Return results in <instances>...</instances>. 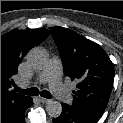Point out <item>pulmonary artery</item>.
Segmentation results:
<instances>
[{
  "mask_svg": "<svg viewBox=\"0 0 123 123\" xmlns=\"http://www.w3.org/2000/svg\"><path fill=\"white\" fill-rule=\"evenodd\" d=\"M40 83L48 82L51 90L56 97L64 103H70L72 101L71 94L61 81V63L59 59L52 58L45 69L40 73L38 77Z\"/></svg>",
  "mask_w": 123,
  "mask_h": 123,
  "instance_id": "pulmonary-artery-1",
  "label": "pulmonary artery"
}]
</instances>
